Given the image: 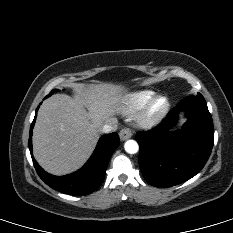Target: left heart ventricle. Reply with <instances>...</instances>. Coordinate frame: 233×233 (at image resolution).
Listing matches in <instances>:
<instances>
[{"instance_id":"obj_1","label":"left heart ventricle","mask_w":233,"mask_h":233,"mask_svg":"<svg viewBox=\"0 0 233 233\" xmlns=\"http://www.w3.org/2000/svg\"><path fill=\"white\" fill-rule=\"evenodd\" d=\"M163 103L160 101L155 105V110H159L162 107Z\"/></svg>"}]
</instances>
